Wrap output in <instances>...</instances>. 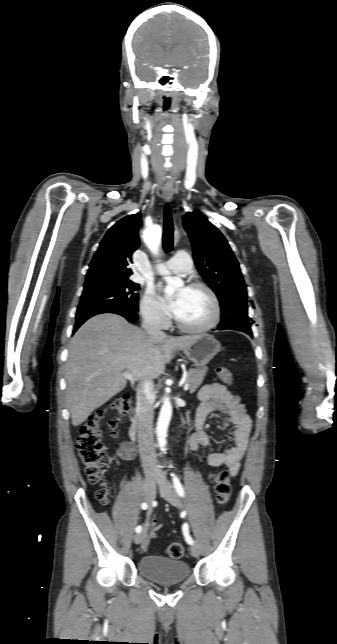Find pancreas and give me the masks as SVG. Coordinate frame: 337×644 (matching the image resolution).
<instances>
[{
    "instance_id": "1",
    "label": "pancreas",
    "mask_w": 337,
    "mask_h": 644,
    "mask_svg": "<svg viewBox=\"0 0 337 644\" xmlns=\"http://www.w3.org/2000/svg\"><path fill=\"white\" fill-rule=\"evenodd\" d=\"M207 367L189 369L186 373V382L189 384L190 393H194L202 384L204 376L207 373Z\"/></svg>"
}]
</instances>
